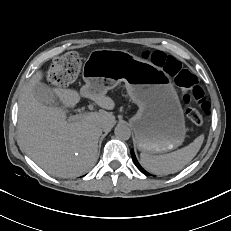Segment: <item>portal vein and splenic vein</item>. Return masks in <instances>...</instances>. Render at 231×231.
I'll return each instance as SVG.
<instances>
[{
	"label": "portal vein and splenic vein",
	"mask_w": 231,
	"mask_h": 231,
	"mask_svg": "<svg viewBox=\"0 0 231 231\" xmlns=\"http://www.w3.org/2000/svg\"><path fill=\"white\" fill-rule=\"evenodd\" d=\"M81 118H82V115H75V116H72L69 120L73 121V120H79Z\"/></svg>",
	"instance_id": "18ae733b"
}]
</instances>
